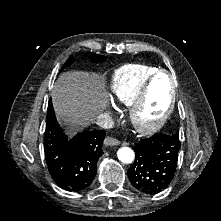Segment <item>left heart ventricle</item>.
<instances>
[{
	"mask_svg": "<svg viewBox=\"0 0 221 221\" xmlns=\"http://www.w3.org/2000/svg\"><path fill=\"white\" fill-rule=\"evenodd\" d=\"M171 94V82L166 74L159 75L152 84L146 103L138 115L141 122L158 120L166 111Z\"/></svg>",
	"mask_w": 221,
	"mask_h": 221,
	"instance_id": "obj_1",
	"label": "left heart ventricle"
}]
</instances>
